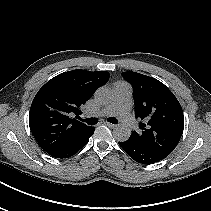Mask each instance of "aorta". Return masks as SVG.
Segmentation results:
<instances>
[{"mask_svg":"<svg viewBox=\"0 0 211 211\" xmlns=\"http://www.w3.org/2000/svg\"><path fill=\"white\" fill-rule=\"evenodd\" d=\"M95 99L98 102L106 103L112 99L111 91L106 87H100L95 92ZM113 135L118 141H126L131 136V129L123 124L117 125L113 130Z\"/></svg>","mask_w":211,"mask_h":211,"instance_id":"aorta-1","label":"aorta"}]
</instances>
